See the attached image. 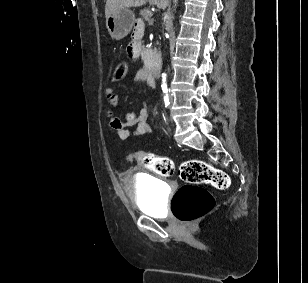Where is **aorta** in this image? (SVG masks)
Wrapping results in <instances>:
<instances>
[{
    "mask_svg": "<svg viewBox=\"0 0 308 283\" xmlns=\"http://www.w3.org/2000/svg\"><path fill=\"white\" fill-rule=\"evenodd\" d=\"M163 86H166V84H165V80H166V75L165 74H163Z\"/></svg>",
    "mask_w": 308,
    "mask_h": 283,
    "instance_id": "aorta-1",
    "label": "aorta"
}]
</instances>
